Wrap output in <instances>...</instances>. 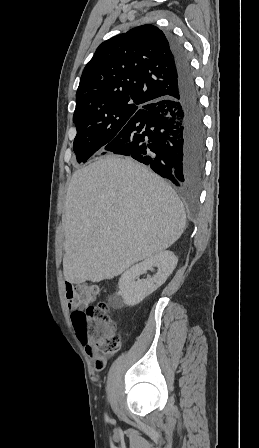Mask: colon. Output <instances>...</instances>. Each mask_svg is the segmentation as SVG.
<instances>
[{
	"label": "colon",
	"mask_w": 259,
	"mask_h": 448,
	"mask_svg": "<svg viewBox=\"0 0 259 448\" xmlns=\"http://www.w3.org/2000/svg\"><path fill=\"white\" fill-rule=\"evenodd\" d=\"M99 295V287L84 282L73 288V299L80 309L72 314V322L78 339L83 345L92 344L104 354H114L121 346L115 323L109 314L107 303L92 305Z\"/></svg>",
	"instance_id": "obj_1"
}]
</instances>
